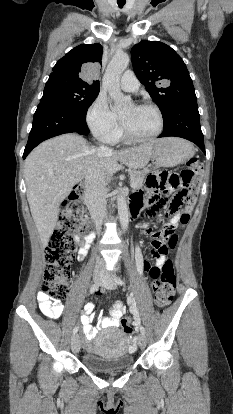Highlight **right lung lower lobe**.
<instances>
[{"mask_svg":"<svg viewBox=\"0 0 233 414\" xmlns=\"http://www.w3.org/2000/svg\"><path fill=\"white\" fill-rule=\"evenodd\" d=\"M85 117L86 115L56 104L41 102L34 114L33 125L23 158H26L38 144L51 137L72 132L87 135L89 129Z\"/></svg>","mask_w":233,"mask_h":414,"instance_id":"98d812e1","label":"right lung lower lobe"}]
</instances>
